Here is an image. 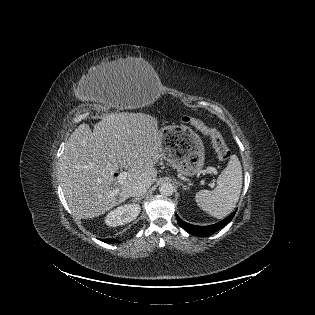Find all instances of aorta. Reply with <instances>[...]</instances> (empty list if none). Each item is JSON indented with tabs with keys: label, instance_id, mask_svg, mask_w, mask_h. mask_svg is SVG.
I'll use <instances>...</instances> for the list:
<instances>
[{
	"label": "aorta",
	"instance_id": "1",
	"mask_svg": "<svg viewBox=\"0 0 315 315\" xmlns=\"http://www.w3.org/2000/svg\"><path fill=\"white\" fill-rule=\"evenodd\" d=\"M159 192L164 196H171L174 192V186L171 183L164 182L159 186Z\"/></svg>",
	"mask_w": 315,
	"mask_h": 315
}]
</instances>
